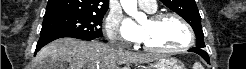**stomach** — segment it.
<instances>
[{"label": "stomach", "mask_w": 246, "mask_h": 69, "mask_svg": "<svg viewBox=\"0 0 246 69\" xmlns=\"http://www.w3.org/2000/svg\"><path fill=\"white\" fill-rule=\"evenodd\" d=\"M147 69H185L184 66L175 58H160Z\"/></svg>", "instance_id": "obj_1"}]
</instances>
